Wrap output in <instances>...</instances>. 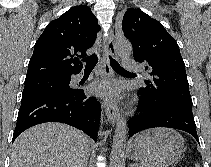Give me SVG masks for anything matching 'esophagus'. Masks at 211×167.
Returning <instances> with one entry per match:
<instances>
[{
  "label": "esophagus",
  "mask_w": 211,
  "mask_h": 167,
  "mask_svg": "<svg viewBox=\"0 0 211 167\" xmlns=\"http://www.w3.org/2000/svg\"><path fill=\"white\" fill-rule=\"evenodd\" d=\"M106 48H107L106 53L104 54V70H103L104 81H107L108 79L114 76V71L109 64V58H108L109 55L116 57V47L112 31L110 32V35L107 38ZM104 96H105L104 97L105 112L107 119L114 125L119 117L117 106L110 98V96L108 95Z\"/></svg>",
  "instance_id": "obj_1"
}]
</instances>
